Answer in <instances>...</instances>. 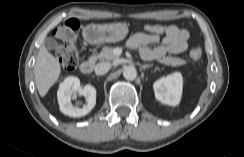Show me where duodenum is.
<instances>
[{
  "label": "duodenum",
  "instance_id": "410a0bca",
  "mask_svg": "<svg viewBox=\"0 0 244 157\" xmlns=\"http://www.w3.org/2000/svg\"><path fill=\"white\" fill-rule=\"evenodd\" d=\"M95 65V57L91 56L80 65V70L83 74H89L92 72Z\"/></svg>",
  "mask_w": 244,
  "mask_h": 157
}]
</instances>
